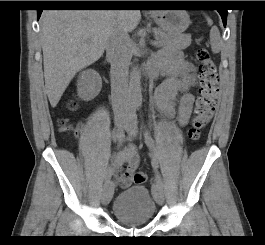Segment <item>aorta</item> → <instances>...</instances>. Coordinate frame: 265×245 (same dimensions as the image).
<instances>
[{
	"label": "aorta",
	"mask_w": 265,
	"mask_h": 245,
	"mask_svg": "<svg viewBox=\"0 0 265 245\" xmlns=\"http://www.w3.org/2000/svg\"><path fill=\"white\" fill-rule=\"evenodd\" d=\"M129 92L133 102L141 100V72L137 66L133 67L129 78Z\"/></svg>",
	"instance_id": "obj_1"
}]
</instances>
